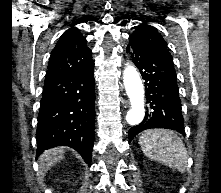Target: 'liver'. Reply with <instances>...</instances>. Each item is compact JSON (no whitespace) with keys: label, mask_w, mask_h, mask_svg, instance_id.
I'll list each match as a JSON object with an SVG mask.
<instances>
[{"label":"liver","mask_w":221,"mask_h":193,"mask_svg":"<svg viewBox=\"0 0 221 193\" xmlns=\"http://www.w3.org/2000/svg\"><path fill=\"white\" fill-rule=\"evenodd\" d=\"M64 147H56L44 151L39 158V176L43 178L47 171L64 157Z\"/></svg>","instance_id":"obj_1"}]
</instances>
